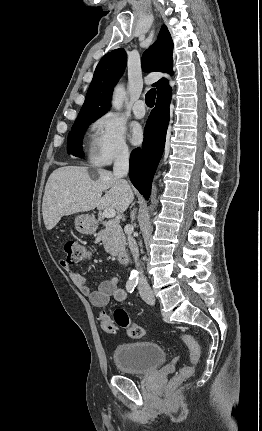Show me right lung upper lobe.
<instances>
[{
	"mask_svg": "<svg viewBox=\"0 0 262 431\" xmlns=\"http://www.w3.org/2000/svg\"><path fill=\"white\" fill-rule=\"evenodd\" d=\"M172 50V38L167 27L163 25L157 41L143 54L141 62L143 70L172 74ZM126 62V53L122 48L107 53L100 60L77 119H98L109 110L113 87L122 76ZM154 85L157 86V96L171 89L165 78L160 79Z\"/></svg>",
	"mask_w": 262,
	"mask_h": 431,
	"instance_id": "obj_1",
	"label": "right lung upper lobe"
}]
</instances>
